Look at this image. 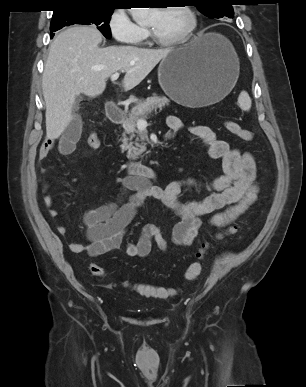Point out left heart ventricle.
I'll return each instance as SVG.
<instances>
[{
    "mask_svg": "<svg viewBox=\"0 0 306 387\" xmlns=\"http://www.w3.org/2000/svg\"><path fill=\"white\" fill-rule=\"evenodd\" d=\"M189 25V17L179 7L154 9L148 19L147 26L163 40L180 37Z\"/></svg>",
    "mask_w": 306,
    "mask_h": 387,
    "instance_id": "1",
    "label": "left heart ventricle"
}]
</instances>
